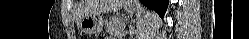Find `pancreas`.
I'll use <instances>...</instances> for the list:
<instances>
[{
  "mask_svg": "<svg viewBox=\"0 0 249 39\" xmlns=\"http://www.w3.org/2000/svg\"><path fill=\"white\" fill-rule=\"evenodd\" d=\"M125 21L120 17H111L105 22V30L108 34L120 36L124 33Z\"/></svg>",
  "mask_w": 249,
  "mask_h": 39,
  "instance_id": "cf45deb5",
  "label": "pancreas"
}]
</instances>
